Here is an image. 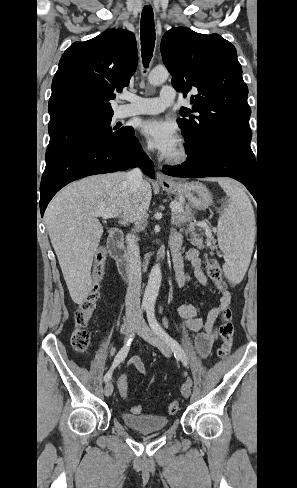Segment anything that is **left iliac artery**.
I'll return each mask as SVG.
<instances>
[{
  "instance_id": "left-iliac-artery-1",
  "label": "left iliac artery",
  "mask_w": 297,
  "mask_h": 488,
  "mask_svg": "<svg viewBox=\"0 0 297 488\" xmlns=\"http://www.w3.org/2000/svg\"><path fill=\"white\" fill-rule=\"evenodd\" d=\"M147 318L151 328L168 343L174 353V356L181 359L184 366L187 367V357L184 350L182 349L181 345L175 339H173L158 323L155 318L153 307L147 308ZM187 381H191V379L188 378Z\"/></svg>"
}]
</instances>
